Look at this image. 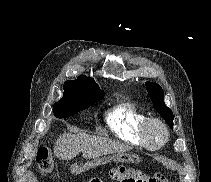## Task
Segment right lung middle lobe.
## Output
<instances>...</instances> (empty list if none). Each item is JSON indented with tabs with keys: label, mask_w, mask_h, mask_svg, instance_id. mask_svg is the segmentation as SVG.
<instances>
[{
	"label": "right lung middle lobe",
	"mask_w": 211,
	"mask_h": 182,
	"mask_svg": "<svg viewBox=\"0 0 211 182\" xmlns=\"http://www.w3.org/2000/svg\"><path fill=\"white\" fill-rule=\"evenodd\" d=\"M63 89V97L53 106L54 115L57 118L73 116L104 97L102 93H97L67 81L64 83Z\"/></svg>",
	"instance_id": "right-lung-middle-lobe-1"
}]
</instances>
